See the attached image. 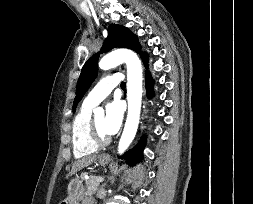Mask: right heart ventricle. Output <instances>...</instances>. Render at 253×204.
<instances>
[{
    "label": "right heart ventricle",
    "mask_w": 253,
    "mask_h": 204,
    "mask_svg": "<svg viewBox=\"0 0 253 204\" xmlns=\"http://www.w3.org/2000/svg\"><path fill=\"white\" fill-rule=\"evenodd\" d=\"M93 107L83 103L78 111L72 126L73 153L77 158L94 154L98 145L91 137L90 122Z\"/></svg>",
    "instance_id": "e07e8e85"
}]
</instances>
